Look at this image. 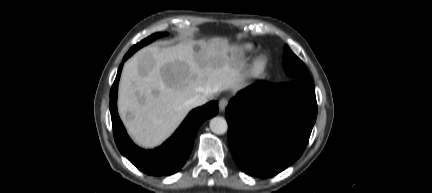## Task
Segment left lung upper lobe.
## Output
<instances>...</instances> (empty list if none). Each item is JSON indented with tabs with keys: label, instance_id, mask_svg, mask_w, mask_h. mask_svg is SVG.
Returning a JSON list of instances; mask_svg holds the SVG:
<instances>
[{
	"label": "left lung upper lobe",
	"instance_id": "1",
	"mask_svg": "<svg viewBox=\"0 0 432 193\" xmlns=\"http://www.w3.org/2000/svg\"><path fill=\"white\" fill-rule=\"evenodd\" d=\"M284 70L292 80H311L303 62L285 45L284 47Z\"/></svg>",
	"mask_w": 432,
	"mask_h": 193
}]
</instances>
